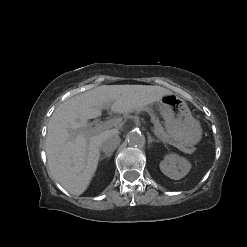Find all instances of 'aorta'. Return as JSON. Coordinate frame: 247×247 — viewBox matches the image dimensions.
I'll list each match as a JSON object with an SVG mask.
<instances>
[{
  "label": "aorta",
  "instance_id": "obj_1",
  "mask_svg": "<svg viewBox=\"0 0 247 247\" xmlns=\"http://www.w3.org/2000/svg\"><path fill=\"white\" fill-rule=\"evenodd\" d=\"M127 141L131 147H142L145 144V137L138 131H132L128 134Z\"/></svg>",
  "mask_w": 247,
  "mask_h": 247
}]
</instances>
